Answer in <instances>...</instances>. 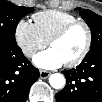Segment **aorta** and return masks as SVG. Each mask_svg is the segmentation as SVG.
Segmentation results:
<instances>
[{
  "mask_svg": "<svg viewBox=\"0 0 102 102\" xmlns=\"http://www.w3.org/2000/svg\"><path fill=\"white\" fill-rule=\"evenodd\" d=\"M51 87L61 89L65 86V77L60 73H54L49 77Z\"/></svg>",
  "mask_w": 102,
  "mask_h": 102,
  "instance_id": "obj_1",
  "label": "aorta"
}]
</instances>
